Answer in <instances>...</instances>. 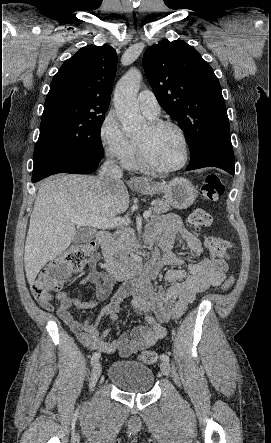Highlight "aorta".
Segmentation results:
<instances>
[{
  "label": "aorta",
  "mask_w": 271,
  "mask_h": 443,
  "mask_svg": "<svg viewBox=\"0 0 271 443\" xmlns=\"http://www.w3.org/2000/svg\"><path fill=\"white\" fill-rule=\"evenodd\" d=\"M141 82V72L137 68H130L116 84L113 102L124 132H140L146 124L136 102Z\"/></svg>",
  "instance_id": "762f6f07"
}]
</instances>
